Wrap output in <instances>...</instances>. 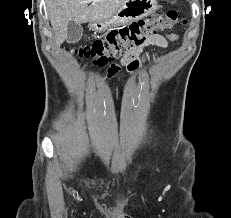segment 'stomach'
I'll list each match as a JSON object with an SVG mask.
<instances>
[{"label": "stomach", "mask_w": 231, "mask_h": 218, "mask_svg": "<svg viewBox=\"0 0 231 218\" xmlns=\"http://www.w3.org/2000/svg\"><path fill=\"white\" fill-rule=\"evenodd\" d=\"M157 9L156 0H126L110 19L91 23L89 29L101 33L147 17Z\"/></svg>", "instance_id": "1"}]
</instances>
